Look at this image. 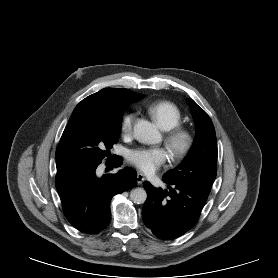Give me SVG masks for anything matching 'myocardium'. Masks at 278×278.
Returning <instances> with one entry per match:
<instances>
[{
	"instance_id": "1",
	"label": "myocardium",
	"mask_w": 278,
	"mask_h": 278,
	"mask_svg": "<svg viewBox=\"0 0 278 278\" xmlns=\"http://www.w3.org/2000/svg\"><path fill=\"white\" fill-rule=\"evenodd\" d=\"M165 144L174 158L181 159L192 150L194 135L189 129L178 125L166 137Z\"/></svg>"
}]
</instances>
